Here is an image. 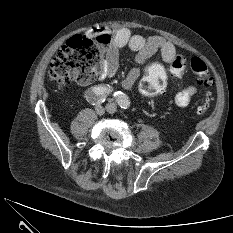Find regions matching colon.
Instances as JSON below:
<instances>
[{"instance_id": "colon-1", "label": "colon", "mask_w": 233, "mask_h": 233, "mask_svg": "<svg viewBox=\"0 0 233 233\" xmlns=\"http://www.w3.org/2000/svg\"><path fill=\"white\" fill-rule=\"evenodd\" d=\"M110 42L111 38L107 34L95 37L81 35L72 37L51 60L50 79L61 87H67L72 82H90ZM188 67L204 87L209 88L214 84L213 75L202 59L198 57L188 59L183 55H176L168 68L159 63H150L145 67L144 77L140 83L141 93L149 97L161 94L165 89L168 73L179 77ZM211 99V95L207 94L203 103L198 107L197 114L202 115L207 111Z\"/></svg>"}]
</instances>
